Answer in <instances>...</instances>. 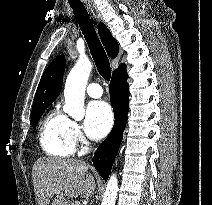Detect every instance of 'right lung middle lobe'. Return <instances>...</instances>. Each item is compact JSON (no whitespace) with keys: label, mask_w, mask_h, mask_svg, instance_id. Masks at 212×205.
<instances>
[{"label":"right lung middle lobe","mask_w":212,"mask_h":205,"mask_svg":"<svg viewBox=\"0 0 212 205\" xmlns=\"http://www.w3.org/2000/svg\"><path fill=\"white\" fill-rule=\"evenodd\" d=\"M48 105H40V106H36L32 108L31 122H32L33 128H36L38 120L40 119V117L42 116L43 112L48 107Z\"/></svg>","instance_id":"right-lung-middle-lobe-1"}]
</instances>
